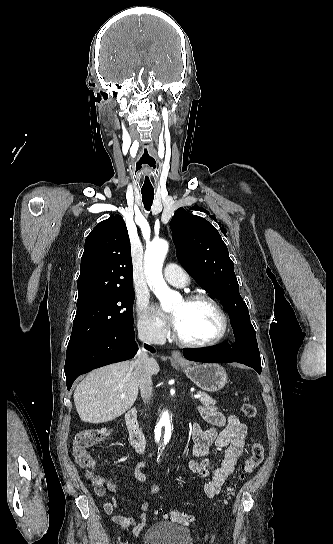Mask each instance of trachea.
Here are the masks:
<instances>
[{
    "label": "trachea",
    "mask_w": 333,
    "mask_h": 544,
    "mask_svg": "<svg viewBox=\"0 0 333 544\" xmlns=\"http://www.w3.org/2000/svg\"><path fill=\"white\" fill-rule=\"evenodd\" d=\"M141 194L144 207L147 211H149L154 199V190H141Z\"/></svg>",
    "instance_id": "obj_1"
}]
</instances>
